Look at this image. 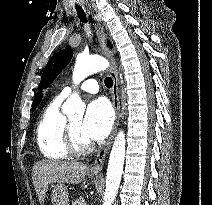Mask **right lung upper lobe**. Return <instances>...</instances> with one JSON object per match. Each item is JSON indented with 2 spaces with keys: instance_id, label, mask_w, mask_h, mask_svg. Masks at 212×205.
I'll return each instance as SVG.
<instances>
[{
  "instance_id": "obj_1",
  "label": "right lung upper lobe",
  "mask_w": 212,
  "mask_h": 205,
  "mask_svg": "<svg viewBox=\"0 0 212 205\" xmlns=\"http://www.w3.org/2000/svg\"><path fill=\"white\" fill-rule=\"evenodd\" d=\"M40 100H41V94L40 93H37L35 95V98H34V101H33V106L32 107H37L38 104L40 103Z\"/></svg>"
}]
</instances>
